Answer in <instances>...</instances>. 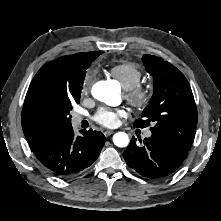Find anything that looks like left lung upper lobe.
Here are the masks:
<instances>
[{
    "instance_id": "left-lung-upper-lobe-1",
    "label": "left lung upper lobe",
    "mask_w": 221,
    "mask_h": 221,
    "mask_svg": "<svg viewBox=\"0 0 221 221\" xmlns=\"http://www.w3.org/2000/svg\"><path fill=\"white\" fill-rule=\"evenodd\" d=\"M142 61L153 77L154 93L134 126L143 128L152 123V134L189 151L195 137L197 109L187 79L160 57L144 54Z\"/></svg>"
}]
</instances>
